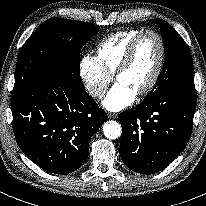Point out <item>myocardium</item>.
<instances>
[{"mask_svg":"<svg viewBox=\"0 0 206 206\" xmlns=\"http://www.w3.org/2000/svg\"><path fill=\"white\" fill-rule=\"evenodd\" d=\"M146 34H152L157 38V40L159 42V46H160V54H159L157 66L155 68V71H154L150 81L143 89H141L136 94V96H138V97H142V96H145L148 93H150L153 90V88L155 87V85L157 84V82L161 76V73H162V70L164 67V63H165V57H166V47H165V43H164V40H163V37L161 36V34L153 29H145V30L141 31L129 44L122 60L120 61L119 65L117 66V69L114 73V79L117 80L118 76L127 70V68L129 67V65L134 57V54H135V51H136V48L138 46L139 41Z\"/></svg>","mask_w":206,"mask_h":206,"instance_id":"obj_1","label":"myocardium"}]
</instances>
